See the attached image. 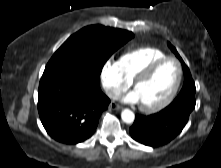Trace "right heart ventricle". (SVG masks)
I'll list each match as a JSON object with an SVG mask.
<instances>
[{"mask_svg":"<svg viewBox=\"0 0 221 168\" xmlns=\"http://www.w3.org/2000/svg\"><path fill=\"white\" fill-rule=\"evenodd\" d=\"M166 56L157 48L143 47L125 52L119 58L118 63L125 78L132 81L149 64Z\"/></svg>","mask_w":221,"mask_h":168,"instance_id":"e07e8e85","label":"right heart ventricle"}]
</instances>
